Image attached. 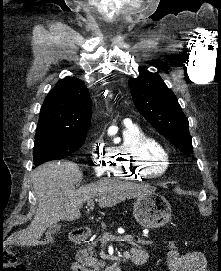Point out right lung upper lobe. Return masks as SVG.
Segmentation results:
<instances>
[{"mask_svg":"<svg viewBox=\"0 0 221 271\" xmlns=\"http://www.w3.org/2000/svg\"><path fill=\"white\" fill-rule=\"evenodd\" d=\"M92 102L83 81L66 77L49 92L40 111L36 133L87 134Z\"/></svg>","mask_w":221,"mask_h":271,"instance_id":"obj_1","label":"right lung upper lobe"}]
</instances>
